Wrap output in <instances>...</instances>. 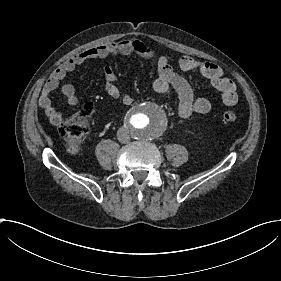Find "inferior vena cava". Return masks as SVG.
I'll list each match as a JSON object with an SVG mask.
<instances>
[{"instance_id": "1", "label": "inferior vena cava", "mask_w": 281, "mask_h": 281, "mask_svg": "<svg viewBox=\"0 0 281 281\" xmlns=\"http://www.w3.org/2000/svg\"><path fill=\"white\" fill-rule=\"evenodd\" d=\"M118 141L122 144H127L130 142V136L125 128H119L117 131Z\"/></svg>"}]
</instances>
